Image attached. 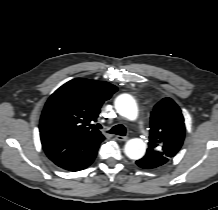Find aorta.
Here are the masks:
<instances>
[{
	"label": "aorta",
	"instance_id": "762f6f07",
	"mask_svg": "<svg viewBox=\"0 0 218 210\" xmlns=\"http://www.w3.org/2000/svg\"><path fill=\"white\" fill-rule=\"evenodd\" d=\"M117 112L128 120H136L138 117V106L135 99L129 94H121L115 100ZM124 152L133 160L141 159L146 152V144L139 138L130 139L126 142Z\"/></svg>",
	"mask_w": 218,
	"mask_h": 210
}]
</instances>
